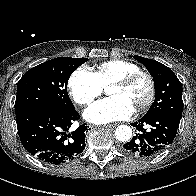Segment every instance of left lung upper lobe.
I'll use <instances>...</instances> for the list:
<instances>
[{
    "label": "left lung upper lobe",
    "mask_w": 196,
    "mask_h": 196,
    "mask_svg": "<svg viewBox=\"0 0 196 196\" xmlns=\"http://www.w3.org/2000/svg\"><path fill=\"white\" fill-rule=\"evenodd\" d=\"M133 57L146 66L154 80L155 100L145 115L164 113L181 119L182 85L177 76L170 68L158 61L141 56Z\"/></svg>",
    "instance_id": "left-lung-upper-lobe-1"
}]
</instances>
